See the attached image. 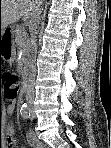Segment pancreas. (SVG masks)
I'll return each mask as SVG.
<instances>
[{
  "label": "pancreas",
  "mask_w": 111,
  "mask_h": 148,
  "mask_svg": "<svg viewBox=\"0 0 111 148\" xmlns=\"http://www.w3.org/2000/svg\"><path fill=\"white\" fill-rule=\"evenodd\" d=\"M15 42L18 46L19 51H22L24 56L27 55L29 47V38L24 25H19L16 27Z\"/></svg>",
  "instance_id": "cf45deb5"
}]
</instances>
